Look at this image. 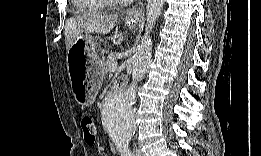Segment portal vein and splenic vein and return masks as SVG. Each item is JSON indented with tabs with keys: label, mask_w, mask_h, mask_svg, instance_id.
Returning a JSON list of instances; mask_svg holds the SVG:
<instances>
[{
	"label": "portal vein and splenic vein",
	"mask_w": 261,
	"mask_h": 156,
	"mask_svg": "<svg viewBox=\"0 0 261 156\" xmlns=\"http://www.w3.org/2000/svg\"><path fill=\"white\" fill-rule=\"evenodd\" d=\"M117 64H113L112 66H111V69H110V71L111 72H115L116 70H117Z\"/></svg>",
	"instance_id": "obj_1"
}]
</instances>
